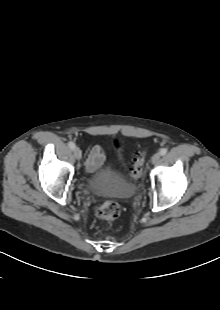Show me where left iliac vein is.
<instances>
[{
    "mask_svg": "<svg viewBox=\"0 0 220 310\" xmlns=\"http://www.w3.org/2000/svg\"><path fill=\"white\" fill-rule=\"evenodd\" d=\"M161 154L160 153H155L152 158H151V163L152 164H157L160 160Z\"/></svg>",
    "mask_w": 220,
    "mask_h": 310,
    "instance_id": "4c4485c4",
    "label": "left iliac vein"
}]
</instances>
